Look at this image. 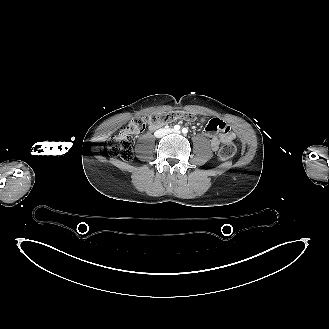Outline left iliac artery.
Masks as SVG:
<instances>
[{"label":"left iliac artery","mask_w":329,"mask_h":329,"mask_svg":"<svg viewBox=\"0 0 329 329\" xmlns=\"http://www.w3.org/2000/svg\"><path fill=\"white\" fill-rule=\"evenodd\" d=\"M182 132H183L184 134H187V133H188V129H187V128H183V129H182Z\"/></svg>","instance_id":"obj_1"}]
</instances>
